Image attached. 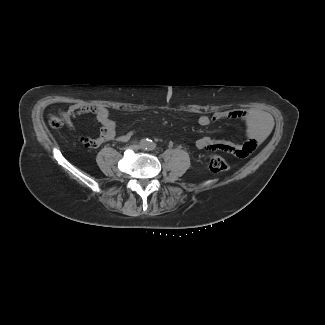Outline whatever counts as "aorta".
Here are the masks:
<instances>
[{
  "label": "aorta",
  "instance_id": "1",
  "mask_svg": "<svg viewBox=\"0 0 325 325\" xmlns=\"http://www.w3.org/2000/svg\"><path fill=\"white\" fill-rule=\"evenodd\" d=\"M145 143H146V145H150L151 144V142H149V141H146Z\"/></svg>",
  "mask_w": 325,
  "mask_h": 325
}]
</instances>
